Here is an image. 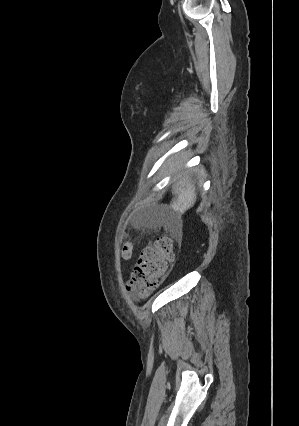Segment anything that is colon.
<instances>
[{
	"mask_svg": "<svg viewBox=\"0 0 299 426\" xmlns=\"http://www.w3.org/2000/svg\"><path fill=\"white\" fill-rule=\"evenodd\" d=\"M132 250V244L127 243L122 251L123 258L129 259ZM173 257V241L169 237H160L152 245L144 248L127 283V290L136 298L147 297L157 288Z\"/></svg>",
	"mask_w": 299,
	"mask_h": 426,
	"instance_id": "5ec220e1",
	"label": "colon"
}]
</instances>
